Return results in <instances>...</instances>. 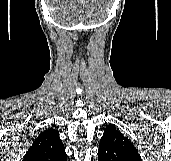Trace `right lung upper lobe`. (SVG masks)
I'll use <instances>...</instances> for the list:
<instances>
[{"mask_svg": "<svg viewBox=\"0 0 171 161\" xmlns=\"http://www.w3.org/2000/svg\"><path fill=\"white\" fill-rule=\"evenodd\" d=\"M23 161H67L58 130L48 128L40 133L28 149Z\"/></svg>", "mask_w": 171, "mask_h": 161, "instance_id": "cb5924a9", "label": "right lung upper lobe"}]
</instances>
